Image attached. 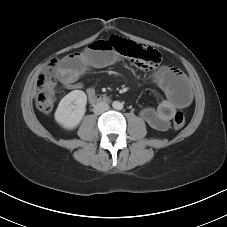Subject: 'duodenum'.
I'll use <instances>...</instances> for the list:
<instances>
[{
  "label": "duodenum",
  "mask_w": 227,
  "mask_h": 227,
  "mask_svg": "<svg viewBox=\"0 0 227 227\" xmlns=\"http://www.w3.org/2000/svg\"><path fill=\"white\" fill-rule=\"evenodd\" d=\"M90 100H91L93 103H101V102H106V101L108 100V98L105 97V96H101V95H96V94H94V95H92V96L90 97Z\"/></svg>",
  "instance_id": "duodenum-1"
}]
</instances>
